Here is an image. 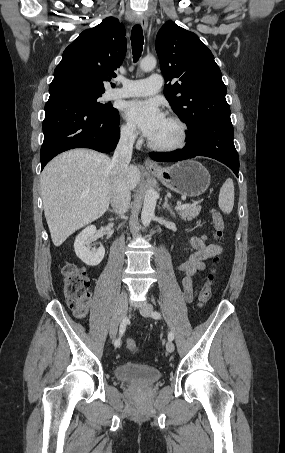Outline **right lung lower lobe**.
<instances>
[{
    "instance_id": "obj_1",
    "label": "right lung lower lobe",
    "mask_w": 285,
    "mask_h": 453,
    "mask_svg": "<svg viewBox=\"0 0 285 453\" xmlns=\"http://www.w3.org/2000/svg\"><path fill=\"white\" fill-rule=\"evenodd\" d=\"M41 170L57 154L73 148L113 151L120 137L119 113L103 116L69 94H51L45 105Z\"/></svg>"
}]
</instances>
